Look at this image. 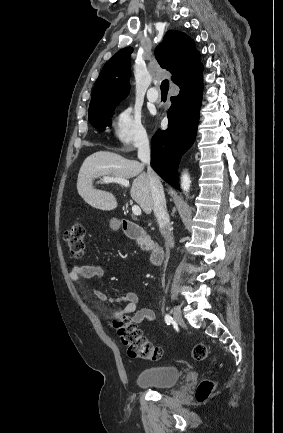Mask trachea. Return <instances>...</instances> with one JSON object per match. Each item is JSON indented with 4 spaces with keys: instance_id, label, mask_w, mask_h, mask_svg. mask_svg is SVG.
<instances>
[{
    "instance_id": "obj_1",
    "label": "trachea",
    "mask_w": 283,
    "mask_h": 433,
    "mask_svg": "<svg viewBox=\"0 0 283 433\" xmlns=\"http://www.w3.org/2000/svg\"><path fill=\"white\" fill-rule=\"evenodd\" d=\"M161 92L162 93H168L169 90V81L168 80H163L161 83Z\"/></svg>"
}]
</instances>
